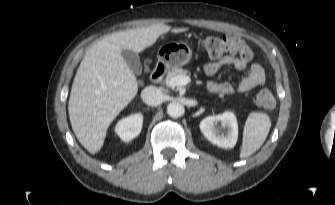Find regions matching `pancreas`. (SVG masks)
Masks as SVG:
<instances>
[{
  "mask_svg": "<svg viewBox=\"0 0 335 205\" xmlns=\"http://www.w3.org/2000/svg\"><path fill=\"white\" fill-rule=\"evenodd\" d=\"M190 73L186 69L178 68V67H173L167 74L165 78L166 84L169 86V81L175 77V76H188Z\"/></svg>",
  "mask_w": 335,
  "mask_h": 205,
  "instance_id": "cf45deb5",
  "label": "pancreas"
}]
</instances>
